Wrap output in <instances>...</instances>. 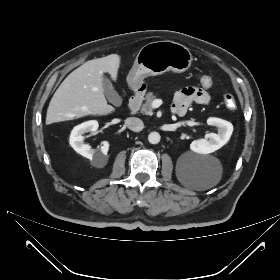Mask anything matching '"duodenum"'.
<instances>
[{
	"label": "duodenum",
	"instance_id": "obj_1",
	"mask_svg": "<svg viewBox=\"0 0 280 280\" xmlns=\"http://www.w3.org/2000/svg\"><path fill=\"white\" fill-rule=\"evenodd\" d=\"M144 92V88L141 85L137 86L135 89L134 94L129 101V112L131 114H135L139 110L144 98ZM173 113H177L176 110L173 109Z\"/></svg>",
	"mask_w": 280,
	"mask_h": 280
}]
</instances>
